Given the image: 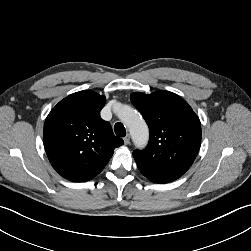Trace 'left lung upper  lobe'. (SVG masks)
<instances>
[{
    "label": "left lung upper lobe",
    "mask_w": 251,
    "mask_h": 251,
    "mask_svg": "<svg viewBox=\"0 0 251 251\" xmlns=\"http://www.w3.org/2000/svg\"><path fill=\"white\" fill-rule=\"evenodd\" d=\"M131 101L150 129L144 150H135L138 167L183 175L201 144V124L189 104L169 91L133 93Z\"/></svg>",
    "instance_id": "5c2ea615"
}]
</instances>
